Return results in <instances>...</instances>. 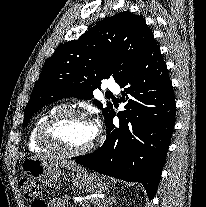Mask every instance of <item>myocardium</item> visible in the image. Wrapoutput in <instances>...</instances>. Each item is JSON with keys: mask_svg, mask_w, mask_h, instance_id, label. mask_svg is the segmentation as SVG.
Listing matches in <instances>:
<instances>
[{"mask_svg": "<svg viewBox=\"0 0 206 207\" xmlns=\"http://www.w3.org/2000/svg\"><path fill=\"white\" fill-rule=\"evenodd\" d=\"M68 119H81L92 125L91 119L78 110H59L46 118L37 130V142L40 146L65 157H80L90 153L96 146L95 137L86 147L78 150H67L57 144L51 136V130Z\"/></svg>", "mask_w": 206, "mask_h": 207, "instance_id": "1", "label": "myocardium"}]
</instances>
